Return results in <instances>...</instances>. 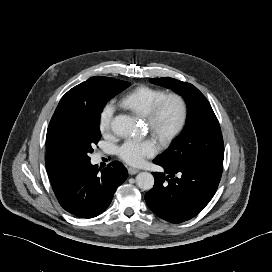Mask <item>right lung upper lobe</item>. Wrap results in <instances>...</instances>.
<instances>
[{
  "label": "right lung upper lobe",
  "mask_w": 272,
  "mask_h": 272,
  "mask_svg": "<svg viewBox=\"0 0 272 272\" xmlns=\"http://www.w3.org/2000/svg\"><path fill=\"white\" fill-rule=\"evenodd\" d=\"M109 77H92L69 90L60 100L52 116L46 135V170L49 176L67 170L69 162L57 145V132L66 121L81 116Z\"/></svg>",
  "instance_id": "right-lung-upper-lobe-1"
}]
</instances>
